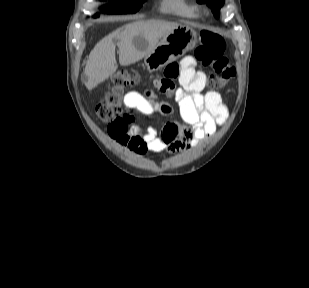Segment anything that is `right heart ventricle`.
<instances>
[{
	"mask_svg": "<svg viewBox=\"0 0 309 288\" xmlns=\"http://www.w3.org/2000/svg\"><path fill=\"white\" fill-rule=\"evenodd\" d=\"M162 10L184 18H197L199 7L187 0H162Z\"/></svg>",
	"mask_w": 309,
	"mask_h": 288,
	"instance_id": "obj_1",
	"label": "right heart ventricle"
}]
</instances>
